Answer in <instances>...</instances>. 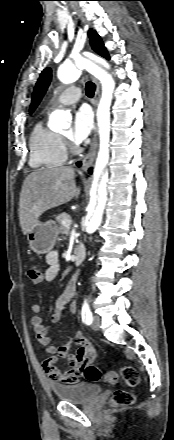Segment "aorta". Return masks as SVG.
<instances>
[{"label":"aorta","instance_id":"obj_1","mask_svg":"<svg viewBox=\"0 0 174 440\" xmlns=\"http://www.w3.org/2000/svg\"><path fill=\"white\" fill-rule=\"evenodd\" d=\"M88 58L99 63L104 68L109 69L108 63L97 56L89 55ZM81 74L79 60H67L59 70V77L64 82H73L79 78ZM110 101L103 100L98 108V125L100 129V150L98 154L94 181L92 187V195L88 205V214L85 221L86 231L89 234L94 233L99 227L104 208L107 201V159L109 155V121H110ZM70 115L62 110L54 111L49 120V127L52 130L68 129L70 124L68 120Z\"/></svg>","mask_w":174,"mask_h":440}]
</instances>
